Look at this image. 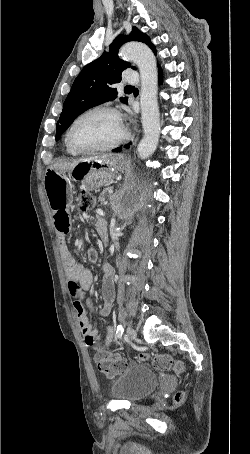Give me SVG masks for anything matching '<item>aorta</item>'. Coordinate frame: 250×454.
<instances>
[{"label": "aorta", "instance_id": "aorta-1", "mask_svg": "<svg viewBox=\"0 0 250 454\" xmlns=\"http://www.w3.org/2000/svg\"><path fill=\"white\" fill-rule=\"evenodd\" d=\"M120 54L132 60L140 72V106L144 136L137 146V154L141 159H147L156 150L160 135L156 59L148 46L138 42L126 43Z\"/></svg>", "mask_w": 250, "mask_h": 454}]
</instances>
